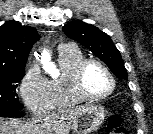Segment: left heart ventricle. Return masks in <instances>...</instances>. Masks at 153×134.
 Wrapping results in <instances>:
<instances>
[{"mask_svg": "<svg viewBox=\"0 0 153 134\" xmlns=\"http://www.w3.org/2000/svg\"><path fill=\"white\" fill-rule=\"evenodd\" d=\"M84 86L88 93L99 95L109 91L111 80L103 69L97 65H91L85 72Z\"/></svg>", "mask_w": 153, "mask_h": 134, "instance_id": "b2bd125f", "label": "left heart ventricle"}]
</instances>
